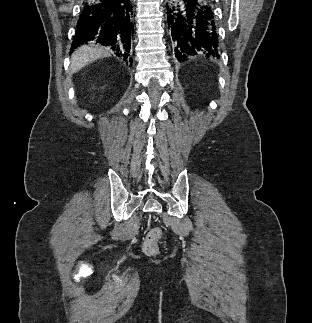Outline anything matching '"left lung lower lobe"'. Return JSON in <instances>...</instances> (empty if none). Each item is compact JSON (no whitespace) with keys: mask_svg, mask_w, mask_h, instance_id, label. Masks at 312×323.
<instances>
[{"mask_svg":"<svg viewBox=\"0 0 312 323\" xmlns=\"http://www.w3.org/2000/svg\"><path fill=\"white\" fill-rule=\"evenodd\" d=\"M214 4L213 0L166 3L171 46L178 61L195 55L220 56Z\"/></svg>","mask_w":312,"mask_h":323,"instance_id":"obj_1","label":"left lung lower lobe"}]
</instances>
